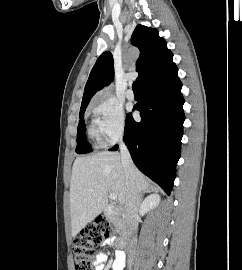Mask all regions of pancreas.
<instances>
[{
    "label": "pancreas",
    "mask_w": 242,
    "mask_h": 270,
    "mask_svg": "<svg viewBox=\"0 0 242 270\" xmlns=\"http://www.w3.org/2000/svg\"><path fill=\"white\" fill-rule=\"evenodd\" d=\"M109 222H111L116 228L117 232L120 234H124L126 230L125 221L117 214H112L108 218Z\"/></svg>",
    "instance_id": "obj_1"
}]
</instances>
